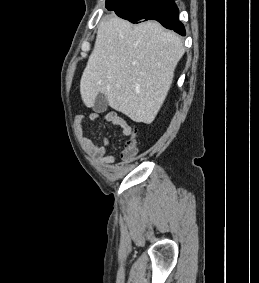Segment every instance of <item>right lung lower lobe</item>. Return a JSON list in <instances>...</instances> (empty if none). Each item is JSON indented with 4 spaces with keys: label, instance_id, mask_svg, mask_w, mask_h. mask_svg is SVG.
<instances>
[{
    "label": "right lung lower lobe",
    "instance_id": "98d812e1",
    "mask_svg": "<svg viewBox=\"0 0 259 283\" xmlns=\"http://www.w3.org/2000/svg\"><path fill=\"white\" fill-rule=\"evenodd\" d=\"M106 8L132 23L156 20L165 28L185 35V28L179 21V10L173 0H106Z\"/></svg>",
    "mask_w": 259,
    "mask_h": 283
}]
</instances>
